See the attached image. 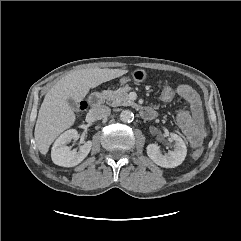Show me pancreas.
I'll return each instance as SVG.
<instances>
[{"label":"pancreas","mask_w":241,"mask_h":241,"mask_svg":"<svg viewBox=\"0 0 241 241\" xmlns=\"http://www.w3.org/2000/svg\"><path fill=\"white\" fill-rule=\"evenodd\" d=\"M129 87H122L115 91L107 90L102 94L106 99L108 105L116 107V106H130L134 105V102L129 99L128 92Z\"/></svg>","instance_id":"pancreas-1"}]
</instances>
